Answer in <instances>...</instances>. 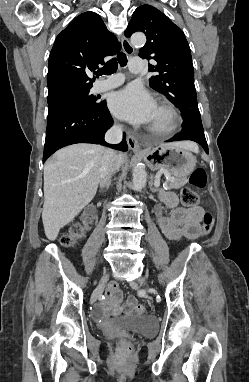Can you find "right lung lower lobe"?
Instances as JSON below:
<instances>
[{
	"mask_svg": "<svg viewBox=\"0 0 249 382\" xmlns=\"http://www.w3.org/2000/svg\"><path fill=\"white\" fill-rule=\"evenodd\" d=\"M112 124L106 101L99 102L93 112L71 113L47 122L43 162L58 149L75 143L101 144L126 151L125 140L118 145L105 142V132Z\"/></svg>",
	"mask_w": 249,
	"mask_h": 382,
	"instance_id": "right-lung-lower-lobe-1",
	"label": "right lung lower lobe"
}]
</instances>
